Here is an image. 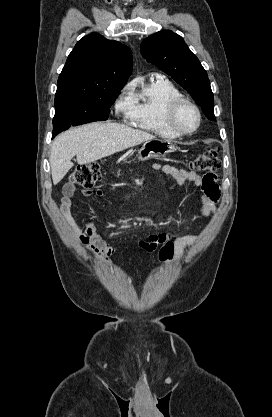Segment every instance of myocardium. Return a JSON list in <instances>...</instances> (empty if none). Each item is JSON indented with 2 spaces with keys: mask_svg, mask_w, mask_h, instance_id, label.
I'll return each instance as SVG.
<instances>
[{
  "mask_svg": "<svg viewBox=\"0 0 272 417\" xmlns=\"http://www.w3.org/2000/svg\"><path fill=\"white\" fill-rule=\"evenodd\" d=\"M186 105L193 108L197 115V124L195 128L190 131L182 130L176 122L179 110ZM201 122L202 114L200 108L192 100L182 96L174 98L168 103L165 111V123L167 127L177 136H189L194 134L200 128Z\"/></svg>",
  "mask_w": 272,
  "mask_h": 417,
  "instance_id": "obj_1",
  "label": "myocardium"
}]
</instances>
